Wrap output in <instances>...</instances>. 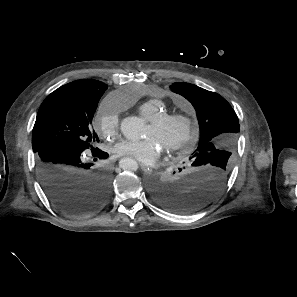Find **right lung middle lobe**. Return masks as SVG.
Masks as SVG:
<instances>
[{"instance_id": "obj_1", "label": "right lung middle lobe", "mask_w": 297, "mask_h": 297, "mask_svg": "<svg viewBox=\"0 0 297 297\" xmlns=\"http://www.w3.org/2000/svg\"><path fill=\"white\" fill-rule=\"evenodd\" d=\"M102 95L66 92L42 104L33 128V151L53 145L95 151L92 144L99 139L91 123Z\"/></svg>"}]
</instances>
